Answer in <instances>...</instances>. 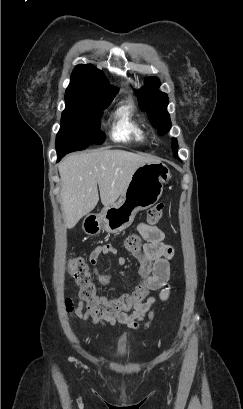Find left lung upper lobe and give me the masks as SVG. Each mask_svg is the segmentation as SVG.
<instances>
[{
    "instance_id": "1",
    "label": "left lung upper lobe",
    "mask_w": 243,
    "mask_h": 409,
    "mask_svg": "<svg viewBox=\"0 0 243 409\" xmlns=\"http://www.w3.org/2000/svg\"><path fill=\"white\" fill-rule=\"evenodd\" d=\"M159 86L158 78H148L146 79V85L136 94L141 108L147 112L150 121L158 128V132L163 135L170 130L171 122L166 110L168 96L159 91ZM172 150L175 156H177L178 144L175 138L172 139Z\"/></svg>"
}]
</instances>
